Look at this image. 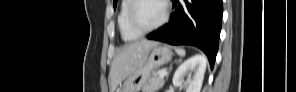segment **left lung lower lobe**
<instances>
[{
	"label": "left lung lower lobe",
	"instance_id": "1",
	"mask_svg": "<svg viewBox=\"0 0 296 92\" xmlns=\"http://www.w3.org/2000/svg\"><path fill=\"white\" fill-rule=\"evenodd\" d=\"M172 1L174 9L170 22L147 38L172 45L196 46L207 55L213 68L221 31L222 0Z\"/></svg>",
	"mask_w": 296,
	"mask_h": 92
}]
</instances>
